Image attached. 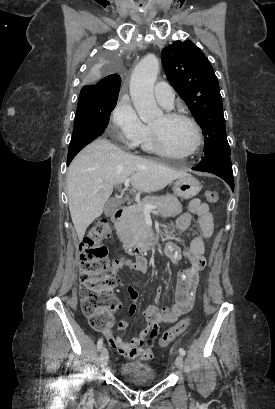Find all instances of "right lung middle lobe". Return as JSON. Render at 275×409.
Segmentation results:
<instances>
[{"mask_svg": "<svg viewBox=\"0 0 275 409\" xmlns=\"http://www.w3.org/2000/svg\"><path fill=\"white\" fill-rule=\"evenodd\" d=\"M121 63V57H117L116 50H95L86 76H83V85H100L101 79H106L107 73L120 72ZM117 99L79 96L67 165L83 147L103 134Z\"/></svg>", "mask_w": 275, "mask_h": 409, "instance_id": "1", "label": "right lung middle lobe"}]
</instances>
